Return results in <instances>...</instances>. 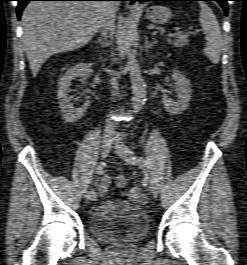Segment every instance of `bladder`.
<instances>
[{
    "instance_id": "1",
    "label": "bladder",
    "mask_w": 247,
    "mask_h": 265,
    "mask_svg": "<svg viewBox=\"0 0 247 265\" xmlns=\"http://www.w3.org/2000/svg\"><path fill=\"white\" fill-rule=\"evenodd\" d=\"M89 225L94 239L107 244H133L149 233L144 208L117 200L99 204L90 214Z\"/></svg>"
}]
</instances>
